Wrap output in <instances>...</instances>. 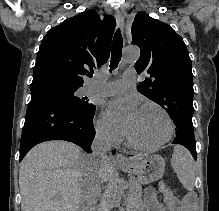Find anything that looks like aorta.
<instances>
[{
  "label": "aorta",
  "mask_w": 219,
  "mask_h": 211,
  "mask_svg": "<svg viewBox=\"0 0 219 211\" xmlns=\"http://www.w3.org/2000/svg\"><path fill=\"white\" fill-rule=\"evenodd\" d=\"M140 56V50L137 47L129 46L124 50L123 61L126 63L136 62ZM124 194V185L118 181L112 185L107 195V207L114 208L120 205Z\"/></svg>",
  "instance_id": "762f6f07"
}]
</instances>
